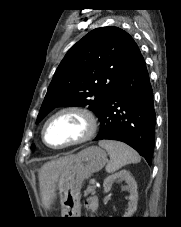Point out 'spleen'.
I'll use <instances>...</instances> for the list:
<instances>
[{
	"label": "spleen",
	"mask_w": 181,
	"mask_h": 227,
	"mask_svg": "<svg viewBox=\"0 0 181 227\" xmlns=\"http://www.w3.org/2000/svg\"><path fill=\"white\" fill-rule=\"evenodd\" d=\"M99 146L106 149L110 156V162L106 166L108 173H113L130 163H138L141 158L130 146L114 140L99 141Z\"/></svg>",
	"instance_id": "1"
}]
</instances>
